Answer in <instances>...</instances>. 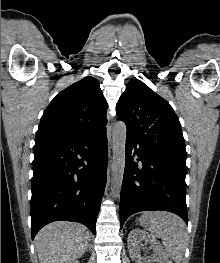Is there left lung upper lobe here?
Instances as JSON below:
<instances>
[{
	"label": "left lung upper lobe",
	"instance_id": "left-lung-upper-lobe-1",
	"mask_svg": "<svg viewBox=\"0 0 220 263\" xmlns=\"http://www.w3.org/2000/svg\"><path fill=\"white\" fill-rule=\"evenodd\" d=\"M116 111L127 126L126 137L186 164L181 125L170 104L142 81L131 80Z\"/></svg>",
	"mask_w": 220,
	"mask_h": 263
}]
</instances>
